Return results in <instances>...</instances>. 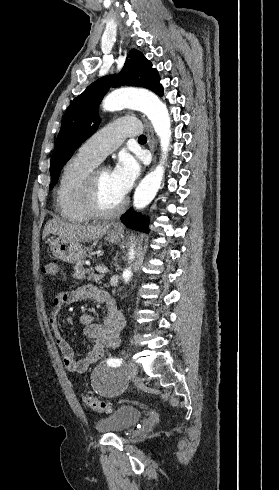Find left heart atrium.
<instances>
[{
	"label": "left heart atrium",
	"instance_id": "left-heart-atrium-1",
	"mask_svg": "<svg viewBox=\"0 0 279 490\" xmlns=\"http://www.w3.org/2000/svg\"><path fill=\"white\" fill-rule=\"evenodd\" d=\"M140 171V165L135 158L123 155L118 159L111 171L110 179L115 193L120 199H123L131 190L140 175Z\"/></svg>",
	"mask_w": 279,
	"mask_h": 490
}]
</instances>
